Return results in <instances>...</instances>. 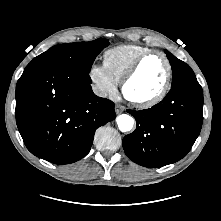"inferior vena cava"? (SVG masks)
I'll list each match as a JSON object with an SVG mask.
<instances>
[{
  "label": "inferior vena cava",
  "mask_w": 221,
  "mask_h": 221,
  "mask_svg": "<svg viewBox=\"0 0 221 221\" xmlns=\"http://www.w3.org/2000/svg\"><path fill=\"white\" fill-rule=\"evenodd\" d=\"M93 92L100 97H106L107 96V92L105 91V89H103L100 86H93Z\"/></svg>",
  "instance_id": "602c4592"
}]
</instances>
